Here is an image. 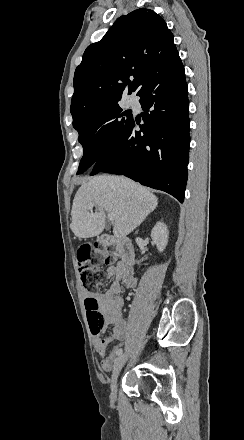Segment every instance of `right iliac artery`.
I'll list each match as a JSON object with an SVG mask.
<instances>
[{
  "instance_id": "1",
  "label": "right iliac artery",
  "mask_w": 244,
  "mask_h": 440,
  "mask_svg": "<svg viewBox=\"0 0 244 440\" xmlns=\"http://www.w3.org/2000/svg\"><path fill=\"white\" fill-rule=\"evenodd\" d=\"M122 352H123L122 349H118L117 352H116V355H117V356H120V355L122 354Z\"/></svg>"
}]
</instances>
